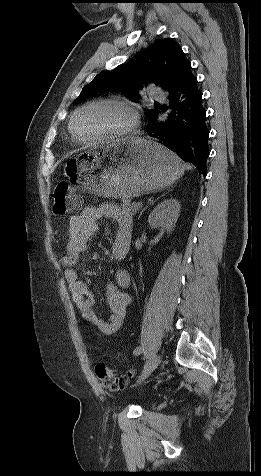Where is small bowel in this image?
<instances>
[{
	"instance_id": "small-bowel-1",
	"label": "small bowel",
	"mask_w": 261,
	"mask_h": 476,
	"mask_svg": "<svg viewBox=\"0 0 261 476\" xmlns=\"http://www.w3.org/2000/svg\"><path fill=\"white\" fill-rule=\"evenodd\" d=\"M102 218H110L117 223L111 251L113 259L120 261L126 257L131 244L132 217L116 205L102 204L86 208L71 218L65 254L60 263L64 268L69 293L77 310L99 332L109 335L121 327L133 301L132 295L127 291L131 283L129 272L125 269L117 270L115 283L106 286V299L111 315L103 319L94 310V297L87 285L80 280L75 269L80 255L87 250L89 239L99 232L98 221Z\"/></svg>"
}]
</instances>
